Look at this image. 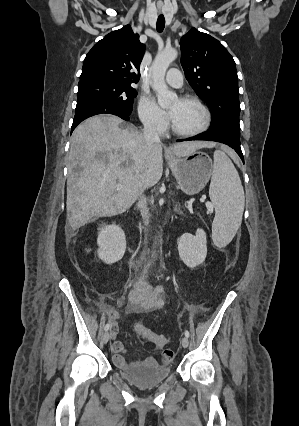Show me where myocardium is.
Segmentation results:
<instances>
[{"mask_svg":"<svg viewBox=\"0 0 299 426\" xmlns=\"http://www.w3.org/2000/svg\"><path fill=\"white\" fill-rule=\"evenodd\" d=\"M181 101L184 102H192L195 103L196 105H198V107L201 109L202 113H203V123L202 125L195 129V130H191V131H183L178 129L173 121H171V130L174 134L178 135V136H182V137H194L197 135H200L202 133H204L205 131L208 130V128L211 125V113L209 108L207 107V105L197 96L194 95H185L183 97L180 98Z\"/></svg>","mask_w":299,"mask_h":426,"instance_id":"1","label":"myocardium"}]
</instances>
